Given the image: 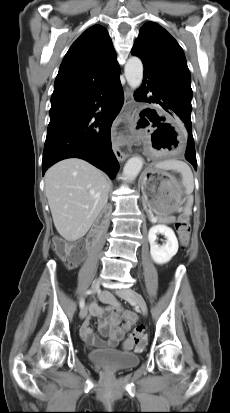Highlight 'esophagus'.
Instances as JSON below:
<instances>
[{"label": "esophagus", "instance_id": "34e87169", "mask_svg": "<svg viewBox=\"0 0 230 413\" xmlns=\"http://www.w3.org/2000/svg\"><path fill=\"white\" fill-rule=\"evenodd\" d=\"M133 101H134V98H133L132 90H130L129 88H126L125 89V110L126 111H129V112L131 111V109L129 108V105ZM114 152H115L117 160L120 161V162L124 161L128 157V154L123 153L119 149L117 143L114 144Z\"/></svg>", "mask_w": 230, "mask_h": 413}]
</instances>
